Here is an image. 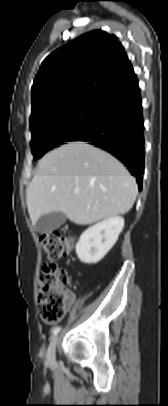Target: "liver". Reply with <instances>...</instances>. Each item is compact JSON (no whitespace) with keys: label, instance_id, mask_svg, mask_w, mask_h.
<instances>
[{"label":"liver","instance_id":"1","mask_svg":"<svg viewBox=\"0 0 168 406\" xmlns=\"http://www.w3.org/2000/svg\"><path fill=\"white\" fill-rule=\"evenodd\" d=\"M137 193L135 179L116 158L85 142H70L40 159L26 202L34 225L52 212L87 225L126 214Z\"/></svg>","mask_w":168,"mask_h":406}]
</instances>
